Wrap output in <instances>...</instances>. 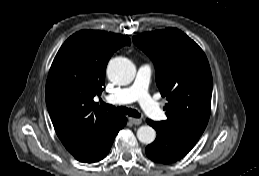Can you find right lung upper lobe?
Here are the masks:
<instances>
[{"instance_id": "obj_1", "label": "right lung upper lobe", "mask_w": 259, "mask_h": 176, "mask_svg": "<svg viewBox=\"0 0 259 176\" xmlns=\"http://www.w3.org/2000/svg\"><path fill=\"white\" fill-rule=\"evenodd\" d=\"M130 45L125 35L82 30L58 51L46 82V104L54 129L75 157L91 149L117 124L118 115L95 107L112 54Z\"/></svg>"}]
</instances>
